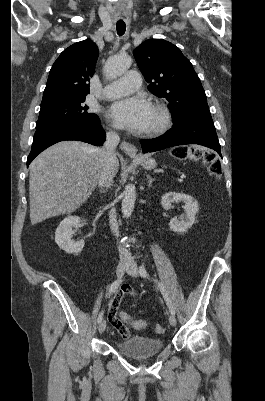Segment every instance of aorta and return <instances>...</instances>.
<instances>
[{"mask_svg":"<svg viewBox=\"0 0 265 401\" xmlns=\"http://www.w3.org/2000/svg\"><path fill=\"white\" fill-rule=\"evenodd\" d=\"M130 64H132V60L130 56H126L124 60L122 58H107L104 64V74L107 78H117V76H121L122 72L128 70ZM136 198V188L134 184H127L123 194H122V215L125 219L131 217L134 211Z\"/></svg>","mask_w":265,"mask_h":401,"instance_id":"1","label":"aorta"}]
</instances>
